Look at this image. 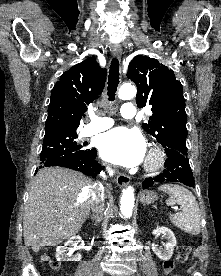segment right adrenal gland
<instances>
[{"mask_svg": "<svg viewBox=\"0 0 221 276\" xmlns=\"http://www.w3.org/2000/svg\"><path fill=\"white\" fill-rule=\"evenodd\" d=\"M88 218L91 219L95 225H98V223L101 222V218L95 216H88Z\"/></svg>", "mask_w": 221, "mask_h": 276, "instance_id": "1", "label": "right adrenal gland"}]
</instances>
